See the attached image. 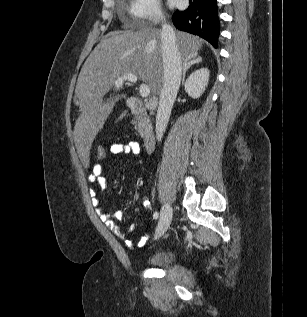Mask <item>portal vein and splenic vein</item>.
<instances>
[{"label":"portal vein and splenic vein","instance_id":"portal-vein-and-splenic-vein-1","mask_svg":"<svg viewBox=\"0 0 307 317\" xmlns=\"http://www.w3.org/2000/svg\"><path fill=\"white\" fill-rule=\"evenodd\" d=\"M125 81L131 82V83H136L138 81V77L136 75L133 74H125L122 77H119L115 83H114V87L116 88H120L123 86V83ZM139 92L141 97L146 98L148 97V95L150 94V90L148 85L146 84H141L139 87Z\"/></svg>","mask_w":307,"mask_h":317}]
</instances>
